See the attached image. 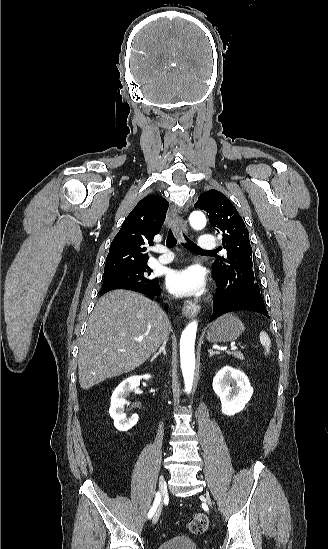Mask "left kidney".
<instances>
[{
	"instance_id": "obj_1",
	"label": "left kidney",
	"mask_w": 328,
	"mask_h": 549,
	"mask_svg": "<svg viewBox=\"0 0 328 549\" xmlns=\"http://www.w3.org/2000/svg\"><path fill=\"white\" fill-rule=\"evenodd\" d=\"M212 387L214 393L220 397L221 411L224 415H235L243 411L253 395L248 377L229 365L216 373Z\"/></svg>"
}]
</instances>
